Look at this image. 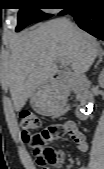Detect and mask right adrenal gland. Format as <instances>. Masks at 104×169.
Returning a JSON list of instances; mask_svg holds the SVG:
<instances>
[{"label":"right adrenal gland","instance_id":"1","mask_svg":"<svg viewBox=\"0 0 104 169\" xmlns=\"http://www.w3.org/2000/svg\"><path fill=\"white\" fill-rule=\"evenodd\" d=\"M103 60H104V50H103L102 48H100V49H99V53H98V60H97V62H96V64H95L94 68L97 69V68H98V65H99L100 63H102Z\"/></svg>","mask_w":104,"mask_h":169}]
</instances>
